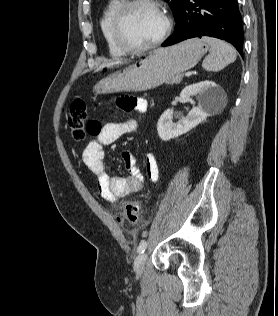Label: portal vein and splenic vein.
<instances>
[{"instance_id": "18ae733b", "label": "portal vein and splenic vein", "mask_w": 278, "mask_h": 316, "mask_svg": "<svg viewBox=\"0 0 278 316\" xmlns=\"http://www.w3.org/2000/svg\"><path fill=\"white\" fill-rule=\"evenodd\" d=\"M191 75H192V72H191V71H188V72L185 73V76H186V77H190Z\"/></svg>"}]
</instances>
